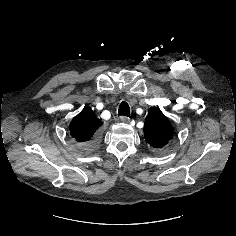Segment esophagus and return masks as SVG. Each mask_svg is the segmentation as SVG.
<instances>
[{
    "mask_svg": "<svg viewBox=\"0 0 236 236\" xmlns=\"http://www.w3.org/2000/svg\"><path fill=\"white\" fill-rule=\"evenodd\" d=\"M119 120H120L121 122H123V123H128V122H129V118L126 117V116H120V117H119Z\"/></svg>",
    "mask_w": 236,
    "mask_h": 236,
    "instance_id": "1",
    "label": "esophagus"
}]
</instances>
